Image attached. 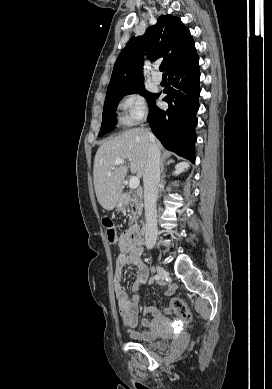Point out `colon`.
<instances>
[{"label": "colon", "mask_w": 272, "mask_h": 389, "mask_svg": "<svg viewBox=\"0 0 272 389\" xmlns=\"http://www.w3.org/2000/svg\"><path fill=\"white\" fill-rule=\"evenodd\" d=\"M106 237L109 243L115 244L118 241V235L113 222L106 218L103 221ZM170 311L178 316L184 323H191L193 321L192 313L187 304L180 298H172L170 301Z\"/></svg>", "instance_id": "1"}]
</instances>
